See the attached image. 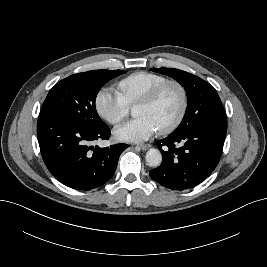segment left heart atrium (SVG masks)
I'll return each mask as SVG.
<instances>
[{
	"instance_id": "obj_1",
	"label": "left heart atrium",
	"mask_w": 267,
	"mask_h": 267,
	"mask_svg": "<svg viewBox=\"0 0 267 267\" xmlns=\"http://www.w3.org/2000/svg\"><path fill=\"white\" fill-rule=\"evenodd\" d=\"M157 130L156 125L150 118L138 116L116 128L114 135L121 141L142 142L153 136Z\"/></svg>"
}]
</instances>
